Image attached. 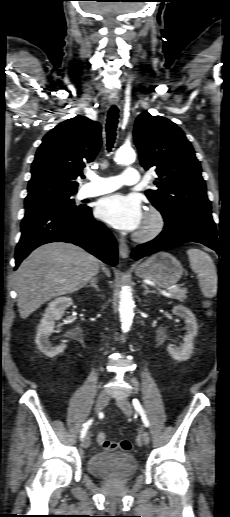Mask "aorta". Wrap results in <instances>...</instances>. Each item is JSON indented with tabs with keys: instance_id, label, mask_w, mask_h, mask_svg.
Segmentation results:
<instances>
[{
	"instance_id": "obj_1",
	"label": "aorta",
	"mask_w": 230,
	"mask_h": 517,
	"mask_svg": "<svg viewBox=\"0 0 230 517\" xmlns=\"http://www.w3.org/2000/svg\"><path fill=\"white\" fill-rule=\"evenodd\" d=\"M115 161L119 164L132 163L135 160V152L130 148H120L115 153ZM134 301L128 286H123L120 292L119 314L122 331L128 332L134 317Z\"/></svg>"
}]
</instances>
